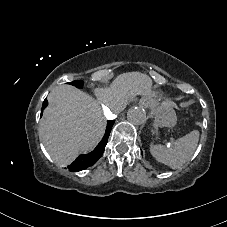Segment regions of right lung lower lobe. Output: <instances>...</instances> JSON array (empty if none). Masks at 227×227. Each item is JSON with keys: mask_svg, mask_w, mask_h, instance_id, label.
Listing matches in <instances>:
<instances>
[{"mask_svg": "<svg viewBox=\"0 0 227 227\" xmlns=\"http://www.w3.org/2000/svg\"><path fill=\"white\" fill-rule=\"evenodd\" d=\"M45 101L47 102L46 99L44 100V102ZM44 102H43V104H44ZM47 105H48V102H47ZM46 106L43 105L42 110ZM41 115H42V113H41ZM113 124H114V121H108L107 122L106 132H105V135H104L102 141L89 154H85V155L82 154V155L78 156V158L72 164H70L67 167L70 171L77 172V171L83 170V169H85L89 166L94 165L98 161V159L102 156V154L105 150V146L107 144L108 137H109V134L111 132Z\"/></svg>", "mask_w": 227, "mask_h": 227, "instance_id": "right-lung-lower-lobe-1", "label": "right lung lower lobe"}]
</instances>
